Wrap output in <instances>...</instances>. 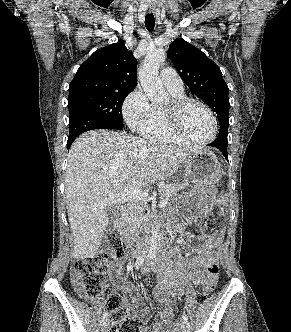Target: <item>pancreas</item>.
<instances>
[{
    "label": "pancreas",
    "mask_w": 291,
    "mask_h": 332,
    "mask_svg": "<svg viewBox=\"0 0 291 332\" xmlns=\"http://www.w3.org/2000/svg\"><path fill=\"white\" fill-rule=\"evenodd\" d=\"M189 186L188 183H171L159 188L158 192L160 200L170 202L174 196L181 190H184ZM146 208V203L141 201H135L124 210L120 224L119 231H127L136 225H139L142 220L143 210Z\"/></svg>",
    "instance_id": "pancreas-1"
}]
</instances>
